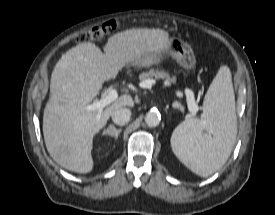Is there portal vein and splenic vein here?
Returning a JSON list of instances; mask_svg holds the SVG:
<instances>
[{
  "label": "portal vein and splenic vein",
  "instance_id": "18ae733b",
  "mask_svg": "<svg viewBox=\"0 0 275 215\" xmlns=\"http://www.w3.org/2000/svg\"><path fill=\"white\" fill-rule=\"evenodd\" d=\"M153 83H154L153 80H147L145 82H142L141 86L144 88H150ZM185 95H186L188 110L192 113H196L199 110V106L195 102L194 93L191 90L186 89ZM117 98H118L117 90L111 89L108 91V94L105 97H103L98 101L93 102L92 104L87 105L85 109L87 111L98 110L99 112H101L104 107L109 105L111 102L115 101Z\"/></svg>",
  "mask_w": 275,
  "mask_h": 215
}]
</instances>
